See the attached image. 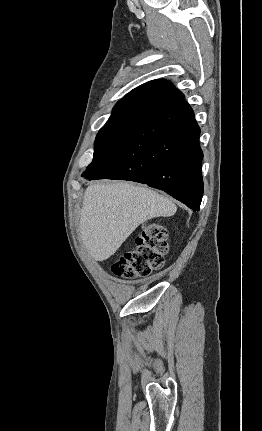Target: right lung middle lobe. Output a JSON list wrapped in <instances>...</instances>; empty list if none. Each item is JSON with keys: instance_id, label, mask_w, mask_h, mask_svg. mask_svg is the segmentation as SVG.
I'll return each mask as SVG.
<instances>
[{"instance_id": "right-lung-middle-lobe-1", "label": "right lung middle lobe", "mask_w": 262, "mask_h": 431, "mask_svg": "<svg viewBox=\"0 0 262 431\" xmlns=\"http://www.w3.org/2000/svg\"><path fill=\"white\" fill-rule=\"evenodd\" d=\"M130 127L120 124L102 127L96 137L93 161L87 168L92 166Z\"/></svg>"}]
</instances>
